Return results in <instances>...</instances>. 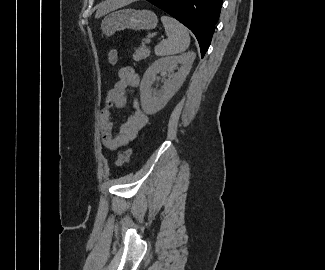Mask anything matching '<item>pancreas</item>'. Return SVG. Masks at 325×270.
Segmentation results:
<instances>
[{"label": "pancreas", "instance_id": "1", "mask_svg": "<svg viewBox=\"0 0 325 270\" xmlns=\"http://www.w3.org/2000/svg\"><path fill=\"white\" fill-rule=\"evenodd\" d=\"M150 54L149 48H147L145 45H142L138 47L133 55V58L135 61H141L146 59Z\"/></svg>", "mask_w": 325, "mask_h": 270}]
</instances>
